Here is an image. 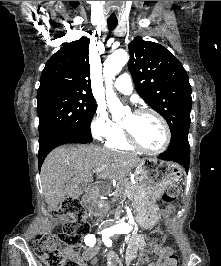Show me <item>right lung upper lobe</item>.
<instances>
[{"mask_svg":"<svg viewBox=\"0 0 221 266\" xmlns=\"http://www.w3.org/2000/svg\"><path fill=\"white\" fill-rule=\"evenodd\" d=\"M89 43V38L82 37L57 51L42 71L38 90L65 89L93 97L89 79Z\"/></svg>","mask_w":221,"mask_h":266,"instance_id":"right-lung-upper-lobe-1","label":"right lung upper lobe"}]
</instances>
